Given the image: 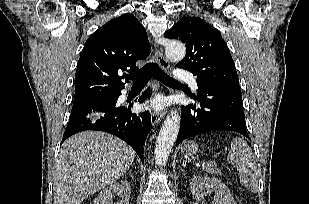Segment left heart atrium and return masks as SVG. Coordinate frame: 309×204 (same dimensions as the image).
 Instances as JSON below:
<instances>
[{
    "label": "left heart atrium",
    "mask_w": 309,
    "mask_h": 204,
    "mask_svg": "<svg viewBox=\"0 0 309 204\" xmlns=\"http://www.w3.org/2000/svg\"><path fill=\"white\" fill-rule=\"evenodd\" d=\"M150 107L153 109H161L163 107V102L160 99H154L150 103Z\"/></svg>",
    "instance_id": "39dd6f15"
}]
</instances>
